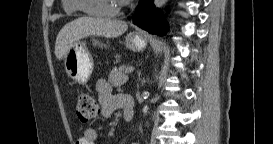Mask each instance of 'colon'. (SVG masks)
Segmentation results:
<instances>
[{"mask_svg":"<svg viewBox=\"0 0 273 144\" xmlns=\"http://www.w3.org/2000/svg\"><path fill=\"white\" fill-rule=\"evenodd\" d=\"M98 103L95 98L87 93H81L77 99L76 114L82 123H87L97 116Z\"/></svg>","mask_w":273,"mask_h":144,"instance_id":"colon-1","label":"colon"}]
</instances>
